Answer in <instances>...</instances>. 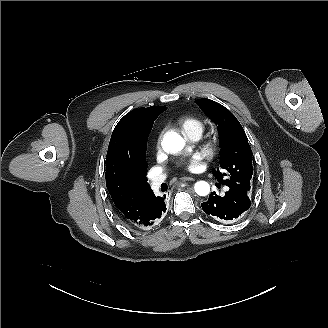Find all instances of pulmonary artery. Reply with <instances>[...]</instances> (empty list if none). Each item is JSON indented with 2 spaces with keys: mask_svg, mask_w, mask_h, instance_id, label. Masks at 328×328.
Masks as SVG:
<instances>
[{
  "mask_svg": "<svg viewBox=\"0 0 328 328\" xmlns=\"http://www.w3.org/2000/svg\"><path fill=\"white\" fill-rule=\"evenodd\" d=\"M163 181L164 176L162 175H155L149 178V184L152 189L158 188Z\"/></svg>",
  "mask_w": 328,
  "mask_h": 328,
  "instance_id": "1",
  "label": "pulmonary artery"
}]
</instances>
